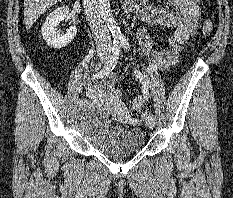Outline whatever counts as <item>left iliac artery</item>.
I'll return each mask as SVG.
<instances>
[{
    "label": "left iliac artery",
    "instance_id": "44dca946",
    "mask_svg": "<svg viewBox=\"0 0 233 198\" xmlns=\"http://www.w3.org/2000/svg\"><path fill=\"white\" fill-rule=\"evenodd\" d=\"M121 45H122V47H123L126 51L129 50V42H128V40H126V39H125V40H122V41H121ZM134 73H135L136 77L140 80V82H141V84H142L144 98H145L146 100H148L149 92H148V86H147V84H146L144 75H143L140 71H138V70H135ZM148 116L154 118V115H153L151 112H149Z\"/></svg>",
    "mask_w": 233,
    "mask_h": 198
}]
</instances>
